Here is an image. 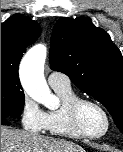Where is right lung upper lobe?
Listing matches in <instances>:
<instances>
[{
  "label": "right lung upper lobe",
  "mask_w": 123,
  "mask_h": 152,
  "mask_svg": "<svg viewBox=\"0 0 123 152\" xmlns=\"http://www.w3.org/2000/svg\"><path fill=\"white\" fill-rule=\"evenodd\" d=\"M40 34V25L21 14H15L1 23V73L18 76L23 53Z\"/></svg>",
  "instance_id": "obj_1"
}]
</instances>
